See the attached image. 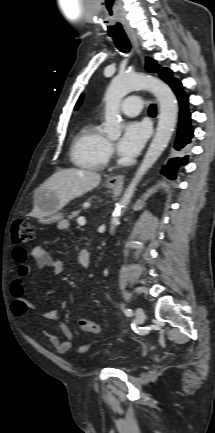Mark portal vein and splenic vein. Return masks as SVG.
<instances>
[{
    "mask_svg": "<svg viewBox=\"0 0 215 433\" xmlns=\"http://www.w3.org/2000/svg\"><path fill=\"white\" fill-rule=\"evenodd\" d=\"M77 222L80 226H84L86 224L85 218L84 217H79L77 219Z\"/></svg>",
    "mask_w": 215,
    "mask_h": 433,
    "instance_id": "obj_1",
    "label": "portal vein and splenic vein"
}]
</instances>
